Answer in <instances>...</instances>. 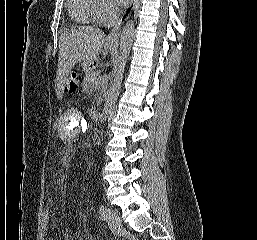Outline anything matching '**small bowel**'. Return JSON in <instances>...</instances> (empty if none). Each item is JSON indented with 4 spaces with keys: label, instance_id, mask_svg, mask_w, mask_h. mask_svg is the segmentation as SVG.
I'll return each instance as SVG.
<instances>
[{
    "label": "small bowel",
    "instance_id": "c3829d8e",
    "mask_svg": "<svg viewBox=\"0 0 257 240\" xmlns=\"http://www.w3.org/2000/svg\"><path fill=\"white\" fill-rule=\"evenodd\" d=\"M63 240H78V238L71 233L70 230L68 229H65L64 232H63Z\"/></svg>",
    "mask_w": 257,
    "mask_h": 240
}]
</instances>
